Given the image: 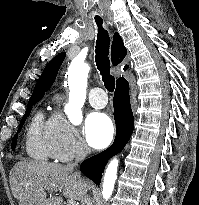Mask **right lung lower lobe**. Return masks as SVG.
<instances>
[{"mask_svg":"<svg viewBox=\"0 0 199 205\" xmlns=\"http://www.w3.org/2000/svg\"><path fill=\"white\" fill-rule=\"evenodd\" d=\"M116 137L114 143L105 151L83 161L81 172L99 185L107 161L119 153L129 141L133 129L134 118L129 100V84L125 79L116 84L113 98Z\"/></svg>","mask_w":199,"mask_h":205,"instance_id":"right-lung-lower-lobe-1","label":"right lung lower lobe"}]
</instances>
